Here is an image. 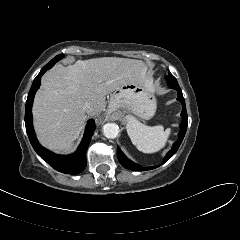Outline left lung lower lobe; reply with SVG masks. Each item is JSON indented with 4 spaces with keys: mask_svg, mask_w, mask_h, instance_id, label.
I'll list each match as a JSON object with an SVG mask.
<instances>
[{
    "mask_svg": "<svg viewBox=\"0 0 240 240\" xmlns=\"http://www.w3.org/2000/svg\"><path fill=\"white\" fill-rule=\"evenodd\" d=\"M167 83L168 85L172 88V89H175L177 90L178 92V97L177 99L182 103L183 105V109H182V113H181V116H182V123L180 124V132L178 134L179 138L178 140L173 144V147L172 149L167 153V155L165 156L164 158V161L163 163H165L168 159H170L178 150L184 136H185V133H186V129H187V112H186V107H185V101H184V98H183V95H182V91L178 85V82L176 79H167ZM117 156H118V160L120 162V164L125 167L126 169H130V170H135V171H146V170H151L153 169L154 167H141L137 164H135L134 162H132L131 160H129L122 152L121 150L118 148L117 149Z\"/></svg>",
    "mask_w": 240,
    "mask_h": 240,
    "instance_id": "0a47b994",
    "label": "left lung lower lobe"
}]
</instances>
